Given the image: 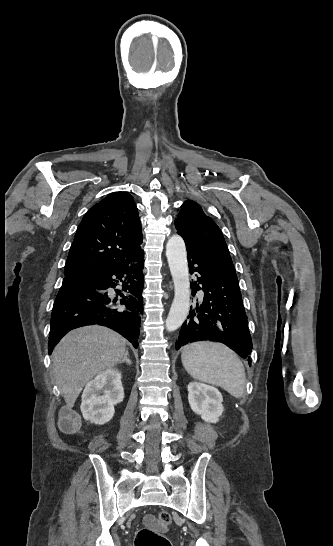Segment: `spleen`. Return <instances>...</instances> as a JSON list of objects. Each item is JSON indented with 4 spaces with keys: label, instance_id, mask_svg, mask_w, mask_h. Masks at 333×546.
<instances>
[{
    "label": "spleen",
    "instance_id": "3e777b00",
    "mask_svg": "<svg viewBox=\"0 0 333 546\" xmlns=\"http://www.w3.org/2000/svg\"><path fill=\"white\" fill-rule=\"evenodd\" d=\"M182 364L195 380L224 388L235 398L245 390V369L227 346L214 342H194L183 347Z\"/></svg>",
    "mask_w": 333,
    "mask_h": 546
}]
</instances>
